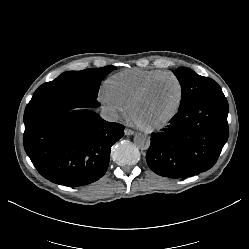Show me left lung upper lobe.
Wrapping results in <instances>:
<instances>
[{"instance_id": "1", "label": "left lung upper lobe", "mask_w": 249, "mask_h": 249, "mask_svg": "<svg viewBox=\"0 0 249 249\" xmlns=\"http://www.w3.org/2000/svg\"><path fill=\"white\" fill-rule=\"evenodd\" d=\"M174 74L179 80L182 89L179 108H183L203 97L223 94L220 86L213 79L200 76L187 67L176 69Z\"/></svg>"}]
</instances>
